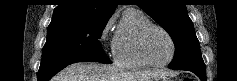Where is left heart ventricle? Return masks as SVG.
Segmentation results:
<instances>
[{
  "instance_id": "obj_1",
  "label": "left heart ventricle",
  "mask_w": 237,
  "mask_h": 81,
  "mask_svg": "<svg viewBox=\"0 0 237 81\" xmlns=\"http://www.w3.org/2000/svg\"><path fill=\"white\" fill-rule=\"evenodd\" d=\"M148 58L155 63H162L171 55V44L167 36L157 29L149 31L145 40Z\"/></svg>"
}]
</instances>
